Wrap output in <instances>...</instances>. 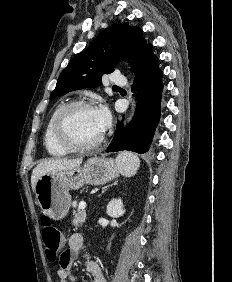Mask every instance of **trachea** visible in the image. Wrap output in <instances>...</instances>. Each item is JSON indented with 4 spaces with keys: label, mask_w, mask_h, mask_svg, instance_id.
Instances as JSON below:
<instances>
[{
    "label": "trachea",
    "mask_w": 232,
    "mask_h": 282,
    "mask_svg": "<svg viewBox=\"0 0 232 282\" xmlns=\"http://www.w3.org/2000/svg\"><path fill=\"white\" fill-rule=\"evenodd\" d=\"M114 88H119L118 86H114Z\"/></svg>",
    "instance_id": "3493384b"
}]
</instances>
